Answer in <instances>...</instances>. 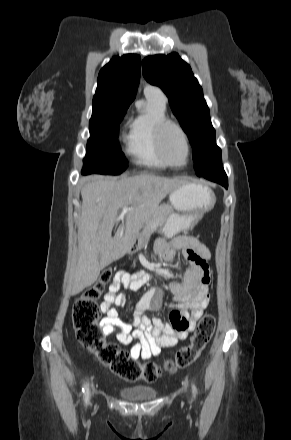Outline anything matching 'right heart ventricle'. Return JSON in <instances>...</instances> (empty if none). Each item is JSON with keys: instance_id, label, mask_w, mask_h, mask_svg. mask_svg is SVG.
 <instances>
[{"instance_id": "1", "label": "right heart ventricle", "mask_w": 291, "mask_h": 440, "mask_svg": "<svg viewBox=\"0 0 291 440\" xmlns=\"http://www.w3.org/2000/svg\"><path fill=\"white\" fill-rule=\"evenodd\" d=\"M147 109L134 116L129 123L125 139V153L139 166L164 168L167 165L158 155L154 137L156 125L167 119L166 105L154 95L145 94Z\"/></svg>"}]
</instances>
